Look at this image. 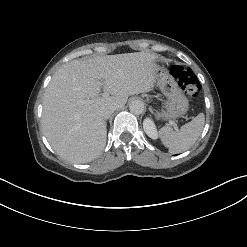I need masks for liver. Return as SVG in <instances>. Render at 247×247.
I'll list each match as a JSON object with an SVG mask.
<instances>
[{
	"instance_id": "obj_1",
	"label": "liver",
	"mask_w": 247,
	"mask_h": 247,
	"mask_svg": "<svg viewBox=\"0 0 247 247\" xmlns=\"http://www.w3.org/2000/svg\"><path fill=\"white\" fill-rule=\"evenodd\" d=\"M156 65L154 55L135 52L76 59L58 69L44 93L42 113L44 134L55 152L74 163L100 155L107 136L101 109L122 108L128 96L151 91ZM101 87L112 96H100Z\"/></svg>"
}]
</instances>
